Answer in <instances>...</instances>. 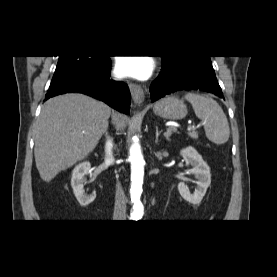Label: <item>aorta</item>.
I'll list each match as a JSON object with an SVG mask.
<instances>
[{
  "instance_id": "obj_1",
  "label": "aorta",
  "mask_w": 277,
  "mask_h": 277,
  "mask_svg": "<svg viewBox=\"0 0 277 277\" xmlns=\"http://www.w3.org/2000/svg\"><path fill=\"white\" fill-rule=\"evenodd\" d=\"M129 159L131 162L130 196L132 202L134 203L131 217L133 219H139L142 217L144 210L143 205L140 202V196L142 193L145 161L141 153V147L136 141H134V143L130 147Z\"/></svg>"
}]
</instances>
